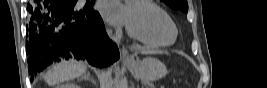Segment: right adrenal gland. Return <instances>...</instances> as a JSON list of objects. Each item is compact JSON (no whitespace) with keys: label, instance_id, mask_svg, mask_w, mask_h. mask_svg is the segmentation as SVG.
Wrapping results in <instances>:
<instances>
[{"label":"right adrenal gland","instance_id":"obj_1","mask_svg":"<svg viewBox=\"0 0 267 88\" xmlns=\"http://www.w3.org/2000/svg\"><path fill=\"white\" fill-rule=\"evenodd\" d=\"M79 79H86V80H90L93 83H95L94 79L92 77H90V73L82 75L81 78H79Z\"/></svg>","mask_w":267,"mask_h":88}]
</instances>
